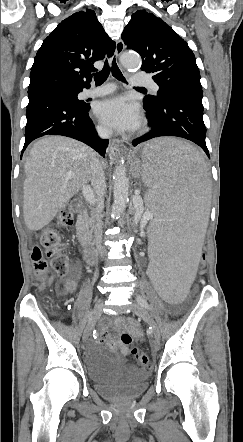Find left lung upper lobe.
I'll use <instances>...</instances> for the list:
<instances>
[{
    "mask_svg": "<svg viewBox=\"0 0 243 442\" xmlns=\"http://www.w3.org/2000/svg\"><path fill=\"white\" fill-rule=\"evenodd\" d=\"M122 39L142 57L141 70L154 73L157 96L147 95L143 107H159L165 92L179 84H200L199 68L188 44L161 18L145 10L132 15Z\"/></svg>",
    "mask_w": 243,
    "mask_h": 442,
    "instance_id": "5c2ea615",
    "label": "left lung upper lobe"
}]
</instances>
